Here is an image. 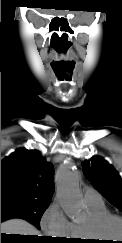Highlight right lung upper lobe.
<instances>
[{"instance_id":"obj_1","label":"right lung upper lobe","mask_w":122,"mask_h":243,"mask_svg":"<svg viewBox=\"0 0 122 243\" xmlns=\"http://www.w3.org/2000/svg\"><path fill=\"white\" fill-rule=\"evenodd\" d=\"M53 191V166L39 151L20 148L1 161V196L50 200Z\"/></svg>"}]
</instances>
